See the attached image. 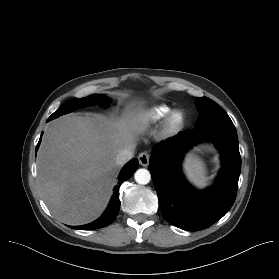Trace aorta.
Returning <instances> with one entry per match:
<instances>
[{"label": "aorta", "instance_id": "1", "mask_svg": "<svg viewBox=\"0 0 279 279\" xmlns=\"http://www.w3.org/2000/svg\"><path fill=\"white\" fill-rule=\"evenodd\" d=\"M134 179L138 184L145 185L151 180V174L147 169H138L134 174Z\"/></svg>", "mask_w": 279, "mask_h": 279}]
</instances>
